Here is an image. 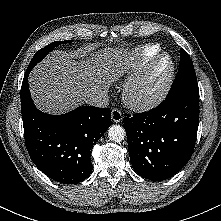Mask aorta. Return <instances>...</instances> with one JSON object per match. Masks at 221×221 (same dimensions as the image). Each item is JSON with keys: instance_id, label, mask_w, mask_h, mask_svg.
Returning a JSON list of instances; mask_svg holds the SVG:
<instances>
[{"instance_id": "aorta-1", "label": "aorta", "mask_w": 221, "mask_h": 221, "mask_svg": "<svg viewBox=\"0 0 221 221\" xmlns=\"http://www.w3.org/2000/svg\"><path fill=\"white\" fill-rule=\"evenodd\" d=\"M108 136L114 142H121L126 136L125 129L120 125H112L108 129Z\"/></svg>"}]
</instances>
